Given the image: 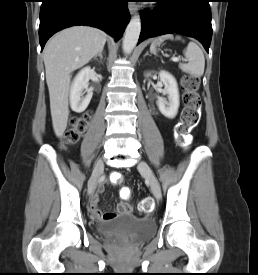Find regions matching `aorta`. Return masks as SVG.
<instances>
[{
  "instance_id": "1",
  "label": "aorta",
  "mask_w": 258,
  "mask_h": 275,
  "mask_svg": "<svg viewBox=\"0 0 258 275\" xmlns=\"http://www.w3.org/2000/svg\"><path fill=\"white\" fill-rule=\"evenodd\" d=\"M141 31V19L139 16H134L126 30L123 39V51L126 54H130L138 42V38Z\"/></svg>"
}]
</instances>
